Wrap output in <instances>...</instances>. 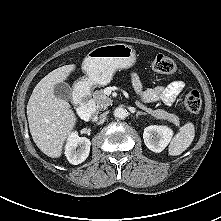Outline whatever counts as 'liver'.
<instances>
[{
	"label": "liver",
	"instance_id": "1",
	"mask_svg": "<svg viewBox=\"0 0 221 221\" xmlns=\"http://www.w3.org/2000/svg\"><path fill=\"white\" fill-rule=\"evenodd\" d=\"M74 64L48 73L35 86L27 104V118L33 141L47 156L58 158L76 124L71 105L54 94V86L68 78Z\"/></svg>",
	"mask_w": 221,
	"mask_h": 221
}]
</instances>
